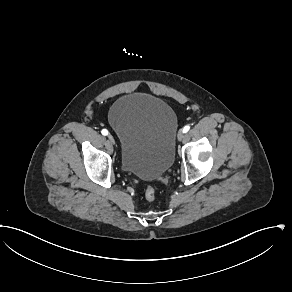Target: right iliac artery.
Masks as SVG:
<instances>
[{
    "label": "right iliac artery",
    "mask_w": 292,
    "mask_h": 292,
    "mask_svg": "<svg viewBox=\"0 0 292 292\" xmlns=\"http://www.w3.org/2000/svg\"><path fill=\"white\" fill-rule=\"evenodd\" d=\"M101 133L103 134V135H108V130L107 129H103L102 131H101Z\"/></svg>",
    "instance_id": "right-iliac-artery-1"
}]
</instances>
